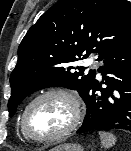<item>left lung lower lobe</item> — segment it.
Listing matches in <instances>:
<instances>
[{
  "label": "left lung lower lobe",
  "instance_id": "1",
  "mask_svg": "<svg viewBox=\"0 0 131 151\" xmlns=\"http://www.w3.org/2000/svg\"><path fill=\"white\" fill-rule=\"evenodd\" d=\"M99 71L103 81L94 79L84 99L86 116L77 133L95 128L131 132V41L111 52Z\"/></svg>",
  "mask_w": 131,
  "mask_h": 151
}]
</instances>
